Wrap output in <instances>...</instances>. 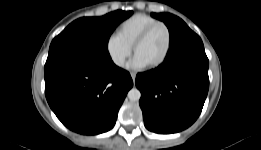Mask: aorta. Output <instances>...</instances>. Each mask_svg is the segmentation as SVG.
<instances>
[{
  "mask_svg": "<svg viewBox=\"0 0 261 150\" xmlns=\"http://www.w3.org/2000/svg\"><path fill=\"white\" fill-rule=\"evenodd\" d=\"M128 98L131 101H138L141 97V93L137 88H132L129 92H128Z\"/></svg>",
  "mask_w": 261,
  "mask_h": 150,
  "instance_id": "762f6f07",
  "label": "aorta"
}]
</instances>
